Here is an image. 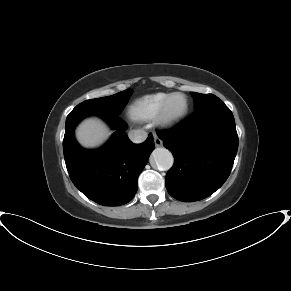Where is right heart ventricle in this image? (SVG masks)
Returning a JSON list of instances; mask_svg holds the SVG:
<instances>
[{
  "instance_id": "1",
  "label": "right heart ventricle",
  "mask_w": 291,
  "mask_h": 291,
  "mask_svg": "<svg viewBox=\"0 0 291 291\" xmlns=\"http://www.w3.org/2000/svg\"><path fill=\"white\" fill-rule=\"evenodd\" d=\"M169 94L157 93L135 100L129 107L130 115L137 120L156 118Z\"/></svg>"
}]
</instances>
